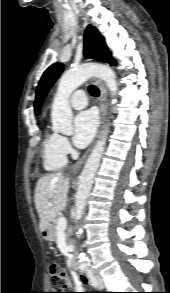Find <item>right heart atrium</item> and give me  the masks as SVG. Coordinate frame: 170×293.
Listing matches in <instances>:
<instances>
[{
    "mask_svg": "<svg viewBox=\"0 0 170 293\" xmlns=\"http://www.w3.org/2000/svg\"><path fill=\"white\" fill-rule=\"evenodd\" d=\"M59 146L64 154H68L71 150L70 144H69L67 138H65L63 136H59Z\"/></svg>",
    "mask_w": 170,
    "mask_h": 293,
    "instance_id": "1",
    "label": "right heart atrium"
}]
</instances>
